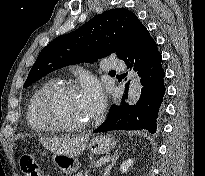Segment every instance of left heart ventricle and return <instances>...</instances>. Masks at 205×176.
I'll list each match as a JSON object with an SVG mask.
<instances>
[{"mask_svg":"<svg viewBox=\"0 0 205 176\" xmlns=\"http://www.w3.org/2000/svg\"><path fill=\"white\" fill-rule=\"evenodd\" d=\"M45 113L61 123L78 125L89 119L90 115L78 93H62L45 105Z\"/></svg>","mask_w":205,"mask_h":176,"instance_id":"obj_1","label":"left heart ventricle"}]
</instances>
